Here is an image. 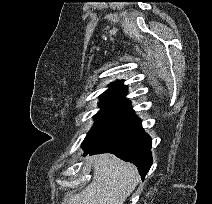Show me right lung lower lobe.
I'll use <instances>...</instances> for the list:
<instances>
[{"label": "right lung lower lobe", "mask_w": 212, "mask_h": 204, "mask_svg": "<svg viewBox=\"0 0 212 204\" xmlns=\"http://www.w3.org/2000/svg\"><path fill=\"white\" fill-rule=\"evenodd\" d=\"M151 145V138L143 131L141 120L136 118L128 127L107 141L83 149L89 154L113 153L136 165L144 178L152 165Z\"/></svg>", "instance_id": "1"}]
</instances>
